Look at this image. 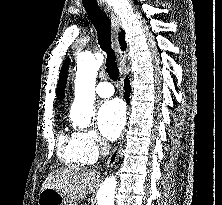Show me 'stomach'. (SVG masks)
Masks as SVG:
<instances>
[{"label":"stomach","instance_id":"0dacf381","mask_svg":"<svg viewBox=\"0 0 222 205\" xmlns=\"http://www.w3.org/2000/svg\"><path fill=\"white\" fill-rule=\"evenodd\" d=\"M38 205H70V201L57 190L44 189L39 194Z\"/></svg>","mask_w":222,"mask_h":205}]
</instances>
